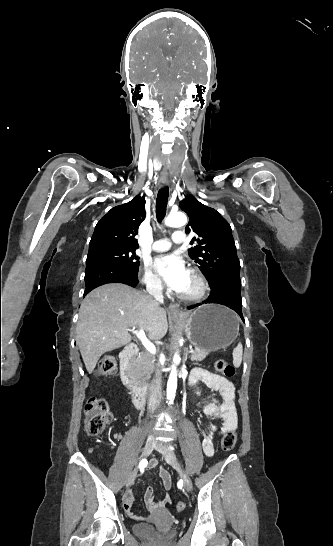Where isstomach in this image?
<instances>
[{
  "label": "stomach",
  "mask_w": 333,
  "mask_h": 546,
  "mask_svg": "<svg viewBox=\"0 0 333 546\" xmlns=\"http://www.w3.org/2000/svg\"><path fill=\"white\" fill-rule=\"evenodd\" d=\"M239 331L235 313L218 304L199 307L186 320L187 338L196 348L218 351L231 345Z\"/></svg>",
  "instance_id": "obj_1"
}]
</instances>
